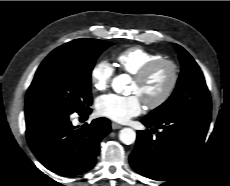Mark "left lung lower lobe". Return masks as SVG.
<instances>
[{"instance_id": "1", "label": "left lung lower lobe", "mask_w": 230, "mask_h": 186, "mask_svg": "<svg viewBox=\"0 0 230 186\" xmlns=\"http://www.w3.org/2000/svg\"><path fill=\"white\" fill-rule=\"evenodd\" d=\"M210 119L211 111L180 113L160 120L144 117V125L163 130L156 137L152 136L155 128L137 131L136 146L129 157L131 167L150 179L172 178L202 148Z\"/></svg>"}]
</instances>
